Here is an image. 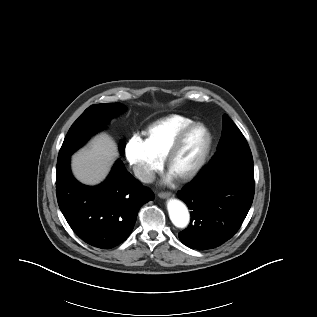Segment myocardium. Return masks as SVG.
I'll use <instances>...</instances> for the list:
<instances>
[{
    "label": "myocardium",
    "mask_w": 317,
    "mask_h": 317,
    "mask_svg": "<svg viewBox=\"0 0 317 317\" xmlns=\"http://www.w3.org/2000/svg\"><path fill=\"white\" fill-rule=\"evenodd\" d=\"M196 128H200L204 131L206 136V143L203 149V152L198 159L197 163L186 173L181 175H175L176 178L181 182H188L194 179L203 169L205 166L208 157L210 155V151L212 148V134L209 130V128L202 122H192L188 126H186L184 129H182L178 135L175 137L174 141L172 142L170 148L168 149L166 156H165V164L168 170L171 169V164L175 156L178 154L182 144L184 143V140L186 137Z\"/></svg>",
    "instance_id": "f54148a6"
}]
</instances>
